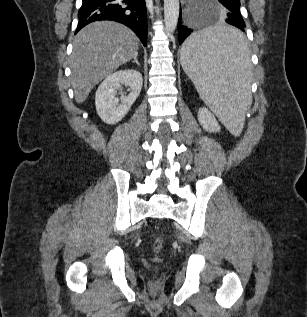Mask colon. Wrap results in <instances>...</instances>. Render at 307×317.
I'll use <instances>...</instances> for the list:
<instances>
[{"label": "colon", "instance_id": "obj_1", "mask_svg": "<svg viewBox=\"0 0 307 317\" xmlns=\"http://www.w3.org/2000/svg\"><path fill=\"white\" fill-rule=\"evenodd\" d=\"M153 249L155 252H159L162 249V242L161 241H156L153 245Z\"/></svg>", "mask_w": 307, "mask_h": 317}]
</instances>
